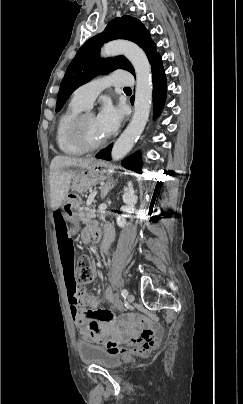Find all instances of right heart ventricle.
<instances>
[{"label":"right heart ventricle","mask_w":243,"mask_h":404,"mask_svg":"<svg viewBox=\"0 0 243 404\" xmlns=\"http://www.w3.org/2000/svg\"><path fill=\"white\" fill-rule=\"evenodd\" d=\"M78 88L74 91L73 96L65 109L59 115L55 128L54 140L55 144L63 155L70 157L82 156L86 150L78 146L68 134V126L70 122L82 111L87 109L85 104L78 98Z\"/></svg>","instance_id":"obj_1"}]
</instances>
